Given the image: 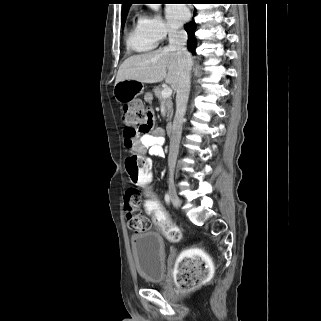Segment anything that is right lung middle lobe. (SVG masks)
<instances>
[{"instance_id":"dd1d6c3e","label":"right lung middle lobe","mask_w":321,"mask_h":321,"mask_svg":"<svg viewBox=\"0 0 321 321\" xmlns=\"http://www.w3.org/2000/svg\"><path fill=\"white\" fill-rule=\"evenodd\" d=\"M126 16H127V13L122 14V19H121V23H122V25H123V24H124V22H125Z\"/></svg>"}]
</instances>
